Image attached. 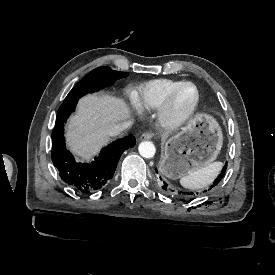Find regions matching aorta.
Here are the masks:
<instances>
[{
	"label": "aorta",
	"mask_w": 275,
	"mask_h": 275,
	"mask_svg": "<svg viewBox=\"0 0 275 275\" xmlns=\"http://www.w3.org/2000/svg\"><path fill=\"white\" fill-rule=\"evenodd\" d=\"M139 153L144 158H153L156 154V147L150 141H143L138 147Z\"/></svg>",
	"instance_id": "762f6f07"
}]
</instances>
